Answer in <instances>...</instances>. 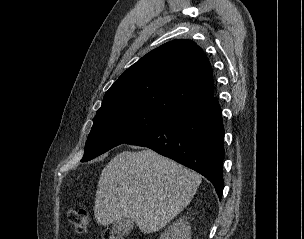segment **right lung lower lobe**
Listing matches in <instances>:
<instances>
[{
  "label": "right lung lower lobe",
  "instance_id": "right-lung-lower-lobe-1",
  "mask_svg": "<svg viewBox=\"0 0 304 239\" xmlns=\"http://www.w3.org/2000/svg\"><path fill=\"white\" fill-rule=\"evenodd\" d=\"M224 126L216 97L170 117L126 144L148 147L205 176L221 199Z\"/></svg>",
  "mask_w": 304,
  "mask_h": 239
}]
</instances>
